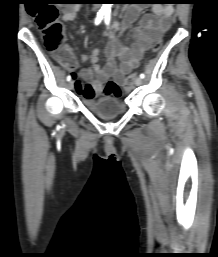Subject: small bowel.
Instances as JSON below:
<instances>
[{
    "label": "small bowel",
    "mask_w": 218,
    "mask_h": 257,
    "mask_svg": "<svg viewBox=\"0 0 218 257\" xmlns=\"http://www.w3.org/2000/svg\"><path fill=\"white\" fill-rule=\"evenodd\" d=\"M79 7L69 5L62 9V19L65 22L73 21L77 18ZM142 11V6L132 5L126 9L122 16L118 33L112 36L107 47V61L105 65L98 64L99 51L94 50L90 56L81 54L73 63V76L75 79L76 92L84 99H94L102 95L101 89L106 79L113 78L122 85L125 83V77L139 66L144 53L153 43L160 40L163 34L168 31L172 23L173 8L170 5H158L154 7L153 13L144 14L139 25L132 33L133 43L130 47L123 45L119 36L138 19ZM119 58L120 64L117 65L116 58ZM90 61L91 66L81 71L77 70L80 62ZM126 98V89L124 97Z\"/></svg>",
    "instance_id": "1"
}]
</instances>
